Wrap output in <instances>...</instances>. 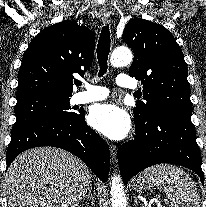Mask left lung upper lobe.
I'll use <instances>...</instances> for the list:
<instances>
[{
  "instance_id": "5c2ea615",
  "label": "left lung upper lobe",
  "mask_w": 206,
  "mask_h": 207,
  "mask_svg": "<svg viewBox=\"0 0 206 207\" xmlns=\"http://www.w3.org/2000/svg\"><path fill=\"white\" fill-rule=\"evenodd\" d=\"M123 41L134 51L129 75L141 81L143 99L134 108L135 122L146 124L155 109L192 112L188 68L180 46L163 26L130 20Z\"/></svg>"
}]
</instances>
